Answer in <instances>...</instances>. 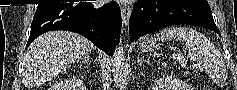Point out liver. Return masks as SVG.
Here are the masks:
<instances>
[{
  "label": "liver",
  "instance_id": "6515ba94",
  "mask_svg": "<svg viewBox=\"0 0 237 90\" xmlns=\"http://www.w3.org/2000/svg\"><path fill=\"white\" fill-rule=\"evenodd\" d=\"M94 50L80 34L47 32L30 44L24 58L25 86L35 88L88 56Z\"/></svg>",
  "mask_w": 237,
  "mask_h": 90
}]
</instances>
